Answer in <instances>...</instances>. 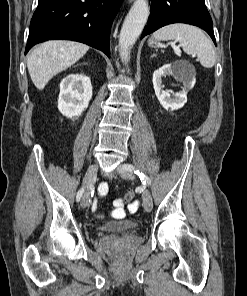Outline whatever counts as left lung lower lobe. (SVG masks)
<instances>
[{
    "instance_id": "0a47b994",
    "label": "left lung lower lobe",
    "mask_w": 247,
    "mask_h": 296,
    "mask_svg": "<svg viewBox=\"0 0 247 296\" xmlns=\"http://www.w3.org/2000/svg\"><path fill=\"white\" fill-rule=\"evenodd\" d=\"M150 12L141 39L162 26L186 23L205 30L216 45L212 19L204 0H151Z\"/></svg>"
}]
</instances>
